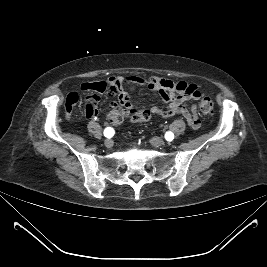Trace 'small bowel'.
Masks as SVG:
<instances>
[{
  "instance_id": "c3829d8e",
  "label": "small bowel",
  "mask_w": 267,
  "mask_h": 267,
  "mask_svg": "<svg viewBox=\"0 0 267 267\" xmlns=\"http://www.w3.org/2000/svg\"><path fill=\"white\" fill-rule=\"evenodd\" d=\"M147 87L150 90L157 91L166 104L165 108L154 106L151 112L154 115L167 118L175 114H181L185 117L190 127L197 129L200 126V120L195 105L188 106L187 102L197 100L202 96V92L196 84L184 81H173L170 79L151 76H118L110 77L106 81L88 82L82 84V90L87 92L85 103V116L93 119L98 114L97 105L100 97L106 91H110L118 97V101H111L109 106L113 109H132V100L125 89L134 87ZM79 101L77 93H70L65 102L67 116H71L72 111Z\"/></svg>"
}]
</instances>
